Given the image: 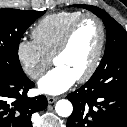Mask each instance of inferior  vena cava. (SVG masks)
I'll return each mask as SVG.
<instances>
[{
    "label": "inferior vena cava",
    "mask_w": 127,
    "mask_h": 127,
    "mask_svg": "<svg viewBox=\"0 0 127 127\" xmlns=\"http://www.w3.org/2000/svg\"><path fill=\"white\" fill-rule=\"evenodd\" d=\"M44 73L42 72V71H33L32 73H31V76L33 77V78H38V77H40V76H42Z\"/></svg>",
    "instance_id": "602c4592"
}]
</instances>
